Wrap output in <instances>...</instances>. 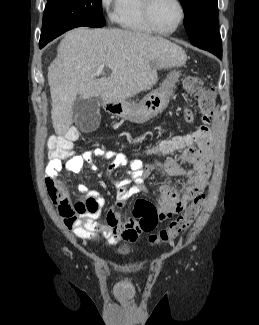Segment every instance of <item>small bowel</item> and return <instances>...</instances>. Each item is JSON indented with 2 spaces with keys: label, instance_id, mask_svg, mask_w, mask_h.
<instances>
[{
  "label": "small bowel",
  "instance_id": "1",
  "mask_svg": "<svg viewBox=\"0 0 259 325\" xmlns=\"http://www.w3.org/2000/svg\"><path fill=\"white\" fill-rule=\"evenodd\" d=\"M203 114V112H202ZM183 117L186 122L192 123L194 120L193 113L184 108ZM179 125L175 124L174 128L166 129L168 138H180L176 134ZM201 127L189 136V143H195V148H181L161 150L159 144L152 150L154 154L168 156L163 162H151L144 164L139 158L129 159L123 153L104 148L87 150L80 155H68L69 159L63 167L61 159H55L49 153V163L46 167V184H56V179L62 174H79L83 173L84 165L91 170L96 171L97 167L93 163V156L108 160L106 167V177L112 180L118 188L116 197V206L122 207L131 197L144 192L145 180L152 174L156 167H160L170 176H180L184 178V191L179 193L170 184H165L160 188L158 195V214L159 220L163 221L173 214L184 209L186 204L196 196L202 194L206 189L212 169V157L209 149V130L204 134ZM194 136H199V141H194ZM162 142V141H161ZM180 152L178 155H173ZM184 164H189L190 168H185ZM129 166L127 177L121 180L113 179V171L121 166ZM59 197H52L54 204L58 206L60 216L65 224L74 234L87 241L99 242L105 239L108 244L115 245L119 241H136L140 233L138 221L132 217H123L114 208H108L106 211V223L97 222L101 209L105 206L106 201L99 191L88 189L84 185L79 186V190L85 193V200L72 203L67 193L58 188Z\"/></svg>",
  "mask_w": 259,
  "mask_h": 325
}]
</instances>
